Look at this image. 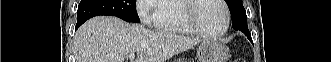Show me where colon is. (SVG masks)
I'll return each instance as SVG.
<instances>
[{
	"label": "colon",
	"instance_id": "5ec220e1",
	"mask_svg": "<svg viewBox=\"0 0 331 62\" xmlns=\"http://www.w3.org/2000/svg\"><path fill=\"white\" fill-rule=\"evenodd\" d=\"M234 62H244V61L241 59H236V60H234Z\"/></svg>",
	"mask_w": 331,
	"mask_h": 62
}]
</instances>
